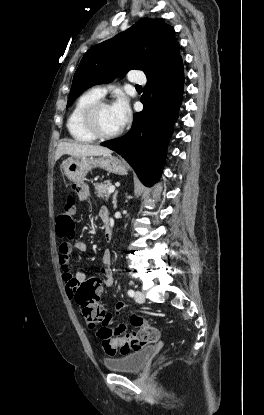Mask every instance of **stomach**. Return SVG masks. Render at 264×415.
<instances>
[{
    "label": "stomach",
    "mask_w": 264,
    "mask_h": 415,
    "mask_svg": "<svg viewBox=\"0 0 264 415\" xmlns=\"http://www.w3.org/2000/svg\"><path fill=\"white\" fill-rule=\"evenodd\" d=\"M102 168L110 173L125 175L127 166L121 159L112 155L93 156H71L63 162L65 176L74 183H82L87 173L93 168Z\"/></svg>",
    "instance_id": "0dacf381"
}]
</instances>
